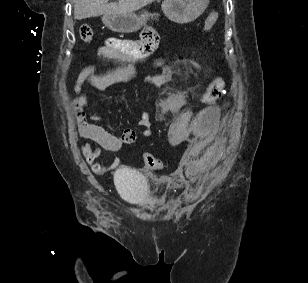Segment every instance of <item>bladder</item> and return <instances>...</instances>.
Masks as SVG:
<instances>
[{
	"instance_id": "bladder-1",
	"label": "bladder",
	"mask_w": 308,
	"mask_h": 283,
	"mask_svg": "<svg viewBox=\"0 0 308 283\" xmlns=\"http://www.w3.org/2000/svg\"><path fill=\"white\" fill-rule=\"evenodd\" d=\"M115 181L119 192L126 200L132 203H141L144 200L147 182L142 174L121 168L115 174Z\"/></svg>"
}]
</instances>
